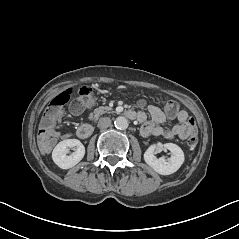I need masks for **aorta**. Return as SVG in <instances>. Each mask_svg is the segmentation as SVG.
<instances>
[{"label": "aorta", "mask_w": 239, "mask_h": 239, "mask_svg": "<svg viewBox=\"0 0 239 239\" xmlns=\"http://www.w3.org/2000/svg\"><path fill=\"white\" fill-rule=\"evenodd\" d=\"M115 127L117 129H126L128 127V120L124 116H118L114 121Z\"/></svg>", "instance_id": "762f6f07"}]
</instances>
